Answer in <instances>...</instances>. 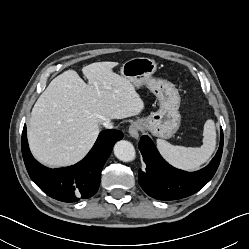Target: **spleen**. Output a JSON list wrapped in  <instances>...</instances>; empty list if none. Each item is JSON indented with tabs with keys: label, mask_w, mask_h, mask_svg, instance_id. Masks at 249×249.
Returning a JSON list of instances; mask_svg holds the SVG:
<instances>
[{
	"label": "spleen",
	"mask_w": 249,
	"mask_h": 249,
	"mask_svg": "<svg viewBox=\"0 0 249 249\" xmlns=\"http://www.w3.org/2000/svg\"><path fill=\"white\" fill-rule=\"evenodd\" d=\"M203 145L201 147L175 146L165 140L157 139L156 145L162 157L172 166L186 170H198L208 161L216 146V129L213 120L204 124Z\"/></svg>",
	"instance_id": "1"
}]
</instances>
